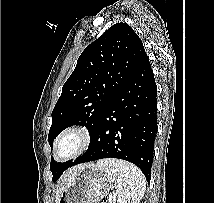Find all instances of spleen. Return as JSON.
<instances>
[{
	"label": "spleen",
	"mask_w": 214,
	"mask_h": 203,
	"mask_svg": "<svg viewBox=\"0 0 214 203\" xmlns=\"http://www.w3.org/2000/svg\"><path fill=\"white\" fill-rule=\"evenodd\" d=\"M96 166L109 176L113 198L118 203L140 202L146 190V179L136 166L117 159L99 160Z\"/></svg>",
	"instance_id": "1"
}]
</instances>
